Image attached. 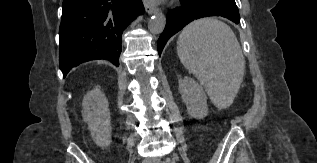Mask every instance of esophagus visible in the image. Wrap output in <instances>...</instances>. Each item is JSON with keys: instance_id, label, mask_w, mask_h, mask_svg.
Wrapping results in <instances>:
<instances>
[{"instance_id": "1", "label": "esophagus", "mask_w": 317, "mask_h": 163, "mask_svg": "<svg viewBox=\"0 0 317 163\" xmlns=\"http://www.w3.org/2000/svg\"><path fill=\"white\" fill-rule=\"evenodd\" d=\"M145 10L148 14H154L158 11V9L152 5H150L149 3H145L144 4Z\"/></svg>"}]
</instances>
